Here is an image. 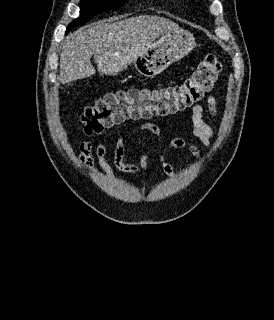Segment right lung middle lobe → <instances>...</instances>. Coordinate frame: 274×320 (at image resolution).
I'll return each instance as SVG.
<instances>
[{"mask_svg":"<svg viewBox=\"0 0 274 320\" xmlns=\"http://www.w3.org/2000/svg\"><path fill=\"white\" fill-rule=\"evenodd\" d=\"M128 0H81L80 2V14L81 17L75 19L67 27L66 34L69 33L72 28L88 22L94 15L116 9L123 6Z\"/></svg>","mask_w":274,"mask_h":320,"instance_id":"1","label":"right lung middle lobe"}]
</instances>
